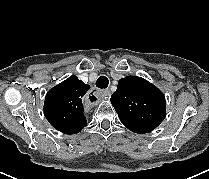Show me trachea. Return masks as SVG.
<instances>
[{"instance_id":"1","label":"trachea","mask_w":209,"mask_h":179,"mask_svg":"<svg viewBox=\"0 0 209 179\" xmlns=\"http://www.w3.org/2000/svg\"><path fill=\"white\" fill-rule=\"evenodd\" d=\"M109 84V80L106 76H100L96 81V86L100 89L107 88Z\"/></svg>"}]
</instances>
